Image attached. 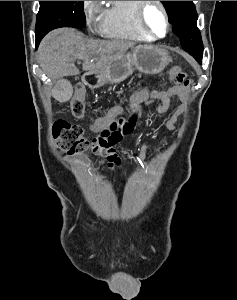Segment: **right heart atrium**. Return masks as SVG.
<instances>
[{"label":"right heart atrium","instance_id":"obj_1","mask_svg":"<svg viewBox=\"0 0 237 300\" xmlns=\"http://www.w3.org/2000/svg\"><path fill=\"white\" fill-rule=\"evenodd\" d=\"M82 10L88 25L94 29L100 28L104 14L101 1H82Z\"/></svg>","mask_w":237,"mask_h":300}]
</instances>
